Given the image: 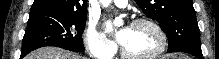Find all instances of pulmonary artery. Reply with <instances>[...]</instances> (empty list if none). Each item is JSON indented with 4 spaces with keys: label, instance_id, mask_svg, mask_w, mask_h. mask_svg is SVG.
<instances>
[{
    "label": "pulmonary artery",
    "instance_id": "e3ab8cb5",
    "mask_svg": "<svg viewBox=\"0 0 219 59\" xmlns=\"http://www.w3.org/2000/svg\"><path fill=\"white\" fill-rule=\"evenodd\" d=\"M114 3H115L116 6H118L120 8H124V7L127 6L128 1H126V0H115Z\"/></svg>",
    "mask_w": 219,
    "mask_h": 59
}]
</instances>
